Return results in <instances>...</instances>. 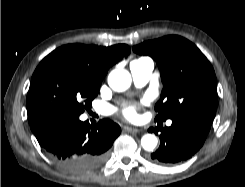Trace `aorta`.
<instances>
[{
  "label": "aorta",
  "mask_w": 245,
  "mask_h": 187,
  "mask_svg": "<svg viewBox=\"0 0 245 187\" xmlns=\"http://www.w3.org/2000/svg\"><path fill=\"white\" fill-rule=\"evenodd\" d=\"M131 75L127 70L115 69L112 70L108 76L109 86L117 92L127 90L131 85ZM157 138L153 134H145L141 138V145L146 151H153L157 146Z\"/></svg>",
  "instance_id": "1"
}]
</instances>
